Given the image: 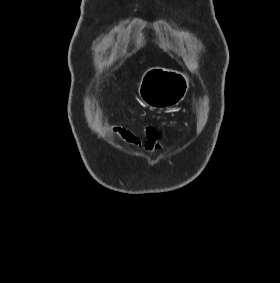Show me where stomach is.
<instances>
[{
	"label": "stomach",
	"mask_w": 280,
	"mask_h": 283,
	"mask_svg": "<svg viewBox=\"0 0 280 283\" xmlns=\"http://www.w3.org/2000/svg\"><path fill=\"white\" fill-rule=\"evenodd\" d=\"M188 77L179 71L152 67L142 75L138 93L141 100L157 109L178 105L187 94Z\"/></svg>",
	"instance_id": "obj_1"
}]
</instances>
